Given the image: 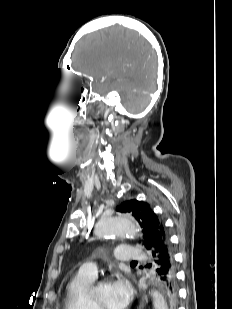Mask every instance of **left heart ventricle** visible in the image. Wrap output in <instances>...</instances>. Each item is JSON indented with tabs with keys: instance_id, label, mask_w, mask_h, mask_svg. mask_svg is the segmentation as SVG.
Masks as SVG:
<instances>
[{
	"instance_id": "1",
	"label": "left heart ventricle",
	"mask_w": 232,
	"mask_h": 309,
	"mask_svg": "<svg viewBox=\"0 0 232 309\" xmlns=\"http://www.w3.org/2000/svg\"><path fill=\"white\" fill-rule=\"evenodd\" d=\"M94 294L105 309H121L119 304L116 302L113 283L101 284L94 291Z\"/></svg>"
}]
</instances>
